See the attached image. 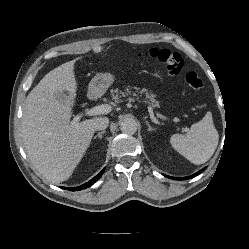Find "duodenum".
I'll list each match as a JSON object with an SVG mask.
<instances>
[{
	"instance_id": "duodenum-1",
	"label": "duodenum",
	"mask_w": 249,
	"mask_h": 249,
	"mask_svg": "<svg viewBox=\"0 0 249 249\" xmlns=\"http://www.w3.org/2000/svg\"><path fill=\"white\" fill-rule=\"evenodd\" d=\"M94 97H95V94H94V93H90V94H89V98H90V99H93Z\"/></svg>"
}]
</instances>
